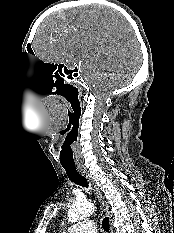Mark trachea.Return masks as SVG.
Segmentation results:
<instances>
[{
    "label": "trachea",
    "mask_w": 174,
    "mask_h": 233,
    "mask_svg": "<svg viewBox=\"0 0 174 233\" xmlns=\"http://www.w3.org/2000/svg\"><path fill=\"white\" fill-rule=\"evenodd\" d=\"M68 178L75 184L88 188L89 183L76 169V167H64ZM102 227L106 232H109V218L104 217L102 220Z\"/></svg>",
    "instance_id": "obj_1"
}]
</instances>
